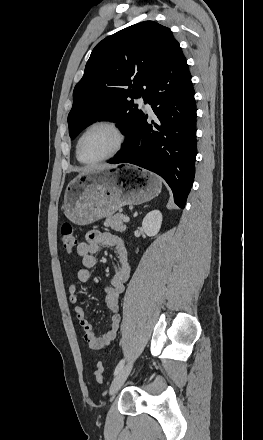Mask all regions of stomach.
I'll list each match as a JSON object with an SVG mask.
<instances>
[{"label":"stomach","instance_id":"0dacf381","mask_svg":"<svg viewBox=\"0 0 263 440\" xmlns=\"http://www.w3.org/2000/svg\"><path fill=\"white\" fill-rule=\"evenodd\" d=\"M125 169L129 172L94 169L75 177L65 190V216L74 224L87 225L112 216L125 205L150 201L160 193L157 175L133 167Z\"/></svg>","mask_w":263,"mask_h":440}]
</instances>
